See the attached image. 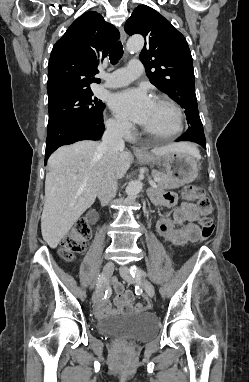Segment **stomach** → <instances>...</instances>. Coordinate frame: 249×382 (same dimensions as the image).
Returning <instances> with one entry per match:
<instances>
[{
  "label": "stomach",
  "instance_id": "1",
  "mask_svg": "<svg viewBox=\"0 0 249 382\" xmlns=\"http://www.w3.org/2000/svg\"><path fill=\"white\" fill-rule=\"evenodd\" d=\"M137 158L149 165H162L167 175L179 179L183 184L192 182L199 171L196 158L185 151H174L164 156L145 153L137 155Z\"/></svg>",
  "mask_w": 249,
  "mask_h": 382
}]
</instances>
